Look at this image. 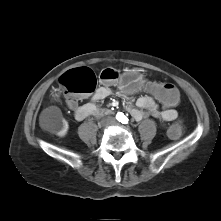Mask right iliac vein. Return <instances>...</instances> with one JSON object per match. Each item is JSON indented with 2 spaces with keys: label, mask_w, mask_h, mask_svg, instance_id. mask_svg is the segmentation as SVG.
<instances>
[{
  "label": "right iliac vein",
  "mask_w": 221,
  "mask_h": 221,
  "mask_svg": "<svg viewBox=\"0 0 221 221\" xmlns=\"http://www.w3.org/2000/svg\"><path fill=\"white\" fill-rule=\"evenodd\" d=\"M101 125H102V126L108 125V121H107V120L102 121V122H101Z\"/></svg>",
  "instance_id": "1"
}]
</instances>
